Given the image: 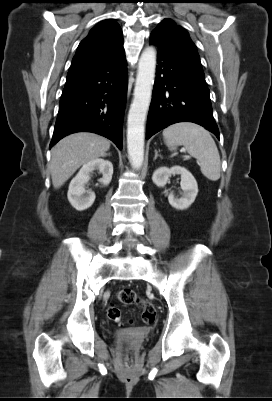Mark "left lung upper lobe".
I'll list each match as a JSON object with an SVG mask.
<instances>
[{
	"label": "left lung upper lobe",
	"mask_w": 272,
	"mask_h": 401,
	"mask_svg": "<svg viewBox=\"0 0 272 401\" xmlns=\"http://www.w3.org/2000/svg\"><path fill=\"white\" fill-rule=\"evenodd\" d=\"M152 33L173 49L200 60L196 46L187 31L171 19H164Z\"/></svg>",
	"instance_id": "left-lung-upper-lobe-1"
}]
</instances>
